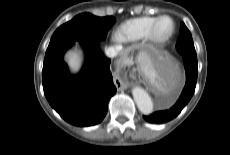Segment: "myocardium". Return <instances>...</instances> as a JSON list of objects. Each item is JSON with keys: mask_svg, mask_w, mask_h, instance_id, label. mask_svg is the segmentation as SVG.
Instances as JSON below:
<instances>
[{"mask_svg": "<svg viewBox=\"0 0 230 155\" xmlns=\"http://www.w3.org/2000/svg\"><path fill=\"white\" fill-rule=\"evenodd\" d=\"M169 20L171 22V30L168 34L161 36L158 34V26L160 24L161 21L163 20ZM176 30V24L175 21L173 20L172 17L168 16V15H162L156 18V20L153 22V24L151 25L147 38L152 41L153 43L156 44H165L167 43L174 35Z\"/></svg>", "mask_w": 230, "mask_h": 155, "instance_id": "f54148a6", "label": "myocardium"}]
</instances>
